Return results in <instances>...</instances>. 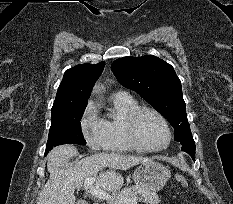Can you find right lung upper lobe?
Instances as JSON below:
<instances>
[{
    "instance_id": "right-lung-upper-lobe-1",
    "label": "right lung upper lobe",
    "mask_w": 233,
    "mask_h": 204,
    "mask_svg": "<svg viewBox=\"0 0 233 204\" xmlns=\"http://www.w3.org/2000/svg\"><path fill=\"white\" fill-rule=\"evenodd\" d=\"M105 63L80 64L68 69L58 88L53 106L87 104L91 90Z\"/></svg>"
}]
</instances>
